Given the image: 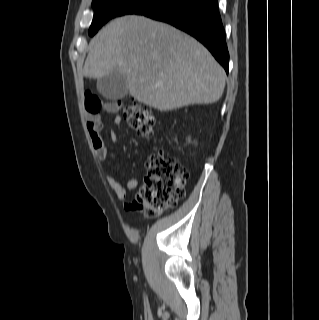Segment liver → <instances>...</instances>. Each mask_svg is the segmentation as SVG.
Returning a JSON list of instances; mask_svg holds the SVG:
<instances>
[{
  "instance_id": "6515ba94",
  "label": "liver",
  "mask_w": 319,
  "mask_h": 320,
  "mask_svg": "<svg viewBox=\"0 0 319 320\" xmlns=\"http://www.w3.org/2000/svg\"><path fill=\"white\" fill-rule=\"evenodd\" d=\"M111 72L126 78L134 99L160 111L217 102L226 77L197 40L137 15L111 21L89 43L84 76L100 79Z\"/></svg>"
}]
</instances>
